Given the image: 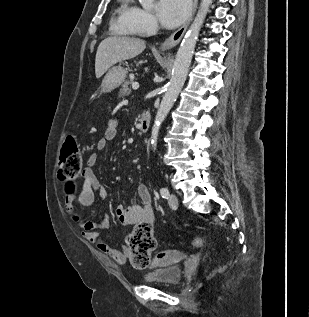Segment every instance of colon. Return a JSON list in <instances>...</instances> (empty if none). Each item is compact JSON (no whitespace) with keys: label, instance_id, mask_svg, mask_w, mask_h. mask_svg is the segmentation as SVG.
Masks as SVG:
<instances>
[{"label":"colon","instance_id":"1","mask_svg":"<svg viewBox=\"0 0 309 317\" xmlns=\"http://www.w3.org/2000/svg\"><path fill=\"white\" fill-rule=\"evenodd\" d=\"M81 167L82 158L77 142L72 135H69L61 148L58 179L67 185H72L77 179ZM127 243L131 251L132 264L138 269L160 265L173 255L172 252L166 251L152 259L151 253L156 247V240L153 236L152 226L148 223H138L129 235ZM201 245L202 240L199 237L193 239L194 248H199Z\"/></svg>","mask_w":309,"mask_h":317}]
</instances>
